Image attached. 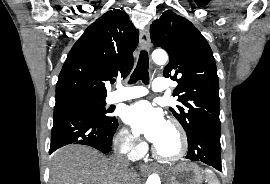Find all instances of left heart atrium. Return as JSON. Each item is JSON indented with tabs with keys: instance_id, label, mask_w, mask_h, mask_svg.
Returning <instances> with one entry per match:
<instances>
[{
	"instance_id": "obj_1",
	"label": "left heart atrium",
	"mask_w": 270,
	"mask_h": 184,
	"mask_svg": "<svg viewBox=\"0 0 270 184\" xmlns=\"http://www.w3.org/2000/svg\"><path fill=\"white\" fill-rule=\"evenodd\" d=\"M124 120L136 136H142L155 145L163 138L169 125L163 113L147 101L129 106Z\"/></svg>"
}]
</instances>
